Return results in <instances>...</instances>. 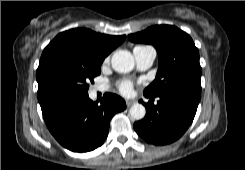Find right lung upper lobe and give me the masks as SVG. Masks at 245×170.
<instances>
[{"instance_id":"1","label":"right lung upper lobe","mask_w":245,"mask_h":170,"mask_svg":"<svg viewBox=\"0 0 245 170\" xmlns=\"http://www.w3.org/2000/svg\"><path fill=\"white\" fill-rule=\"evenodd\" d=\"M126 36H110L86 28H75L58 34L44 49L40 61L52 56L87 64H102Z\"/></svg>"}]
</instances>
